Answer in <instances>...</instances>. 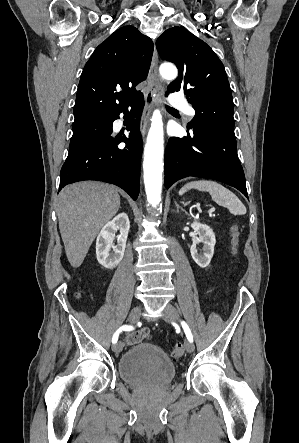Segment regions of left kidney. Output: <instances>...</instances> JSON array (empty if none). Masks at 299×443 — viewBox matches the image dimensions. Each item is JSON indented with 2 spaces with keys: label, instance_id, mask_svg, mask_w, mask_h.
Returning a JSON list of instances; mask_svg holds the SVG:
<instances>
[{
  "label": "left kidney",
  "instance_id": "left-kidney-1",
  "mask_svg": "<svg viewBox=\"0 0 299 443\" xmlns=\"http://www.w3.org/2000/svg\"><path fill=\"white\" fill-rule=\"evenodd\" d=\"M191 227L198 235L190 248L191 256L198 266L206 268L210 264L214 254V246L216 243L215 234L209 226L199 222H193ZM199 243L203 244V254L198 253L196 245Z\"/></svg>",
  "mask_w": 299,
  "mask_h": 443
}]
</instances>
